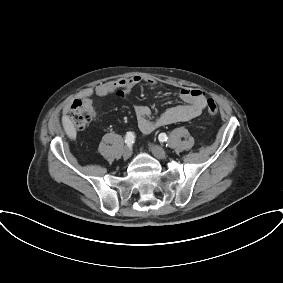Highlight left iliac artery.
I'll use <instances>...</instances> for the list:
<instances>
[{
  "instance_id": "left-iliac-artery-1",
  "label": "left iliac artery",
  "mask_w": 283,
  "mask_h": 283,
  "mask_svg": "<svg viewBox=\"0 0 283 283\" xmlns=\"http://www.w3.org/2000/svg\"><path fill=\"white\" fill-rule=\"evenodd\" d=\"M158 139L160 142H165L167 141L168 137L165 133H160L159 136H158Z\"/></svg>"
}]
</instances>
